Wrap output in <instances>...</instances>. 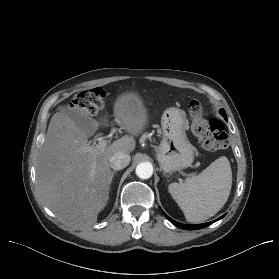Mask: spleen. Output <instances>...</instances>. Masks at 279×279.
Instances as JSON below:
<instances>
[{
    "label": "spleen",
    "mask_w": 279,
    "mask_h": 279,
    "mask_svg": "<svg viewBox=\"0 0 279 279\" xmlns=\"http://www.w3.org/2000/svg\"><path fill=\"white\" fill-rule=\"evenodd\" d=\"M231 187L230 162L222 156L184 183H171L168 190L186 220L201 223L221 210L229 198Z\"/></svg>",
    "instance_id": "3e777b00"
}]
</instances>
